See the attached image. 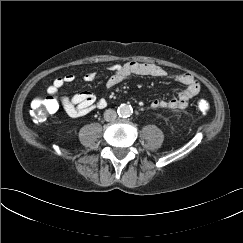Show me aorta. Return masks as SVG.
I'll list each match as a JSON object with an SVG mask.
<instances>
[{
  "label": "aorta",
  "instance_id": "aorta-1",
  "mask_svg": "<svg viewBox=\"0 0 243 243\" xmlns=\"http://www.w3.org/2000/svg\"><path fill=\"white\" fill-rule=\"evenodd\" d=\"M133 109L130 105L128 104H121L118 107V115L124 118L130 117L132 115Z\"/></svg>",
  "mask_w": 243,
  "mask_h": 243
}]
</instances>
